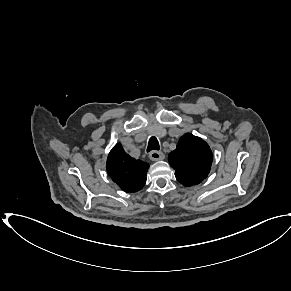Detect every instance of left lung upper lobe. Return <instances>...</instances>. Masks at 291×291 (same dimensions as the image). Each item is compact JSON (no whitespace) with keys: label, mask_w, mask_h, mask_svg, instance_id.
Returning a JSON list of instances; mask_svg holds the SVG:
<instances>
[{"label":"left lung upper lobe","mask_w":291,"mask_h":291,"mask_svg":"<svg viewBox=\"0 0 291 291\" xmlns=\"http://www.w3.org/2000/svg\"><path fill=\"white\" fill-rule=\"evenodd\" d=\"M213 155L208 144L190 133L182 136L168 161L184 186L197 185L209 174Z\"/></svg>","instance_id":"left-lung-upper-lobe-1"}]
</instances>
